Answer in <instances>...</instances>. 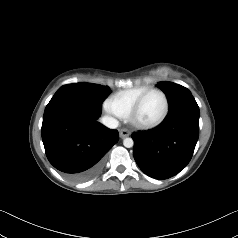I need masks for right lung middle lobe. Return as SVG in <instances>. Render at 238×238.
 Instances as JSON below:
<instances>
[{"instance_id":"obj_1","label":"right lung middle lobe","mask_w":238,"mask_h":238,"mask_svg":"<svg viewBox=\"0 0 238 238\" xmlns=\"http://www.w3.org/2000/svg\"><path fill=\"white\" fill-rule=\"evenodd\" d=\"M109 87L92 85L87 83L68 84L62 86L53 97L59 95H71L89 103L100 105L110 93Z\"/></svg>"}]
</instances>
